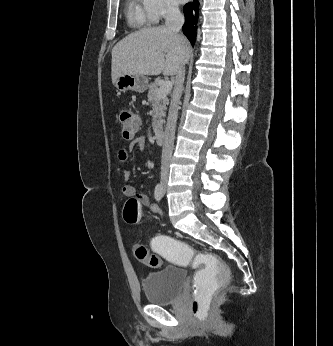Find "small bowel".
I'll return each mask as SVG.
<instances>
[{
	"label": "small bowel",
	"mask_w": 333,
	"mask_h": 346,
	"mask_svg": "<svg viewBox=\"0 0 333 346\" xmlns=\"http://www.w3.org/2000/svg\"><path fill=\"white\" fill-rule=\"evenodd\" d=\"M145 146L146 139L144 137H138L129 144L127 149H121L119 151V159L124 161L126 160L129 152L142 151ZM123 177L126 181L129 180L132 177V172L129 170L125 171ZM122 191L125 196H136L139 199L141 205L148 207L153 213H160V207L157 204L151 203L149 197L146 194L138 193L137 186L125 184Z\"/></svg>",
	"instance_id": "obj_1"
}]
</instances>
